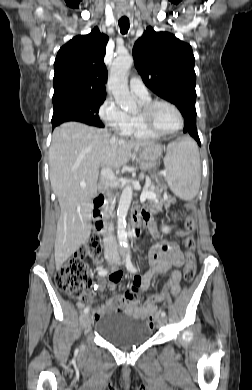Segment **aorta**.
Segmentation results:
<instances>
[{
	"label": "aorta",
	"mask_w": 252,
	"mask_h": 390,
	"mask_svg": "<svg viewBox=\"0 0 252 390\" xmlns=\"http://www.w3.org/2000/svg\"><path fill=\"white\" fill-rule=\"evenodd\" d=\"M133 65V58L129 54L117 56L110 68L108 89L113 94L116 103L121 109L133 112L137 108L135 98L128 88L127 73ZM133 188L127 185L120 196L117 209V237L120 244L127 243L126 216L132 201Z\"/></svg>",
	"instance_id": "aorta-1"
}]
</instances>
